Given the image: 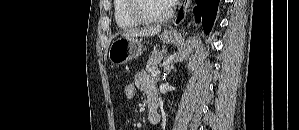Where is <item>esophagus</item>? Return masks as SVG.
Returning <instances> with one entry per match:
<instances>
[{"mask_svg":"<svg viewBox=\"0 0 299 130\" xmlns=\"http://www.w3.org/2000/svg\"><path fill=\"white\" fill-rule=\"evenodd\" d=\"M189 4H190V0L182 1V3L180 4V7L178 9L177 15L173 21L174 26H178L184 21L185 16H186L187 7L189 6Z\"/></svg>","mask_w":299,"mask_h":130,"instance_id":"obj_1","label":"esophagus"}]
</instances>
